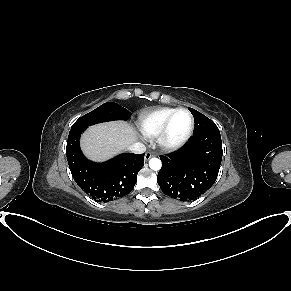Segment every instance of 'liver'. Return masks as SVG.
I'll list each match as a JSON object with an SVG mask.
<instances>
[{"label": "liver", "mask_w": 291, "mask_h": 291, "mask_svg": "<svg viewBox=\"0 0 291 291\" xmlns=\"http://www.w3.org/2000/svg\"><path fill=\"white\" fill-rule=\"evenodd\" d=\"M137 139L132 125L115 121L89 127L81 138V148L88 158L104 161L127 149Z\"/></svg>", "instance_id": "obj_1"}]
</instances>
